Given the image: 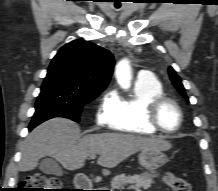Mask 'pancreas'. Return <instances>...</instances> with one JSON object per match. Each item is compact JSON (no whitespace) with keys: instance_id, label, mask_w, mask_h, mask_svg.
Segmentation results:
<instances>
[{"instance_id":"pancreas-1","label":"pancreas","mask_w":218,"mask_h":191,"mask_svg":"<svg viewBox=\"0 0 218 191\" xmlns=\"http://www.w3.org/2000/svg\"><path fill=\"white\" fill-rule=\"evenodd\" d=\"M153 183L152 176L148 173L141 175L126 176L125 174L115 176L111 181L112 189L117 190H136L141 191V188L146 190L151 187Z\"/></svg>"}]
</instances>
